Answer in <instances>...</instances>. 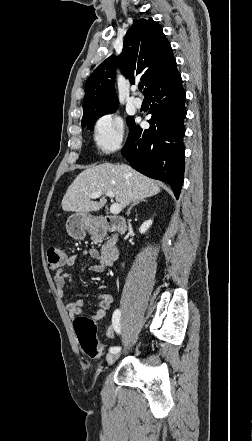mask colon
Returning a JSON list of instances; mask_svg holds the SVG:
<instances>
[{
    "label": "colon",
    "mask_w": 252,
    "mask_h": 441,
    "mask_svg": "<svg viewBox=\"0 0 252 441\" xmlns=\"http://www.w3.org/2000/svg\"><path fill=\"white\" fill-rule=\"evenodd\" d=\"M67 261V255L60 246H51L47 251L48 267L51 270H58ZM74 329L79 343L89 357L99 358L102 355L99 343L96 339V324L89 317H77L74 320Z\"/></svg>",
    "instance_id": "obj_1"
}]
</instances>
